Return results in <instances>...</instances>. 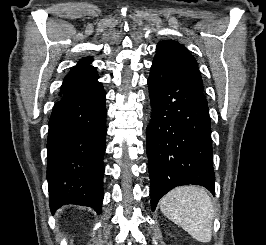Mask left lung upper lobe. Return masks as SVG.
I'll list each match as a JSON object with an SVG mask.
<instances>
[{
	"label": "left lung upper lobe",
	"instance_id": "obj_1",
	"mask_svg": "<svg viewBox=\"0 0 266 245\" xmlns=\"http://www.w3.org/2000/svg\"><path fill=\"white\" fill-rule=\"evenodd\" d=\"M154 59L169 64L203 88L195 58L180 43L172 40L160 41Z\"/></svg>",
	"mask_w": 266,
	"mask_h": 245
}]
</instances>
